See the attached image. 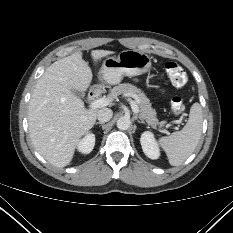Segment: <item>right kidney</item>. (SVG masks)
Here are the masks:
<instances>
[{
    "instance_id": "ca27d5eb",
    "label": "right kidney",
    "mask_w": 233,
    "mask_h": 233,
    "mask_svg": "<svg viewBox=\"0 0 233 233\" xmlns=\"http://www.w3.org/2000/svg\"><path fill=\"white\" fill-rule=\"evenodd\" d=\"M95 145V135L93 133H88L83 139L78 143L77 149L82 154H89Z\"/></svg>"
}]
</instances>
